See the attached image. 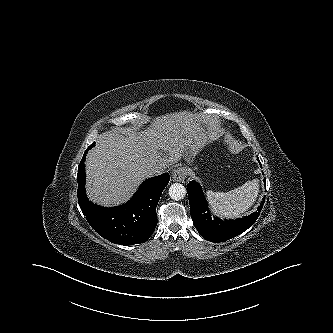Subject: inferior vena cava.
Segmentation results:
<instances>
[{"mask_svg": "<svg viewBox=\"0 0 333 333\" xmlns=\"http://www.w3.org/2000/svg\"><path fill=\"white\" fill-rule=\"evenodd\" d=\"M163 167L162 166H159V165H157V164H155V165H150L149 167H148V173L150 174V175H158V174H161L162 172H163Z\"/></svg>", "mask_w": 333, "mask_h": 333, "instance_id": "602c4592", "label": "inferior vena cava"}]
</instances>
